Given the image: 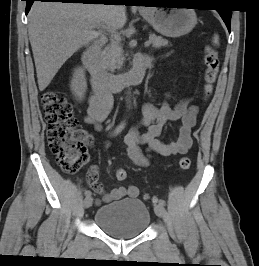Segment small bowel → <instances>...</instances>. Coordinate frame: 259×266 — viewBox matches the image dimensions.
<instances>
[{"label":"small bowel","mask_w":259,"mask_h":266,"mask_svg":"<svg viewBox=\"0 0 259 266\" xmlns=\"http://www.w3.org/2000/svg\"><path fill=\"white\" fill-rule=\"evenodd\" d=\"M145 58V57H144ZM113 106V99L109 92L99 90L93 85V93L89 99V106L84 118L86 123L93 124L100 131L102 123L109 115ZM198 107L191 103L190 98L180 101L175 107H171L167 102L160 106L145 104L142 108L141 119L131 128L125 137L128 146L129 157L140 166L149 164V157L142 154L140 145H146L148 150L161 156L185 154L192 146V129L196 125ZM181 121L179 135L175 141L164 143L160 140V135L165 125L170 121ZM146 126L145 134H138V127ZM108 146V143H106ZM87 183L89 187L102 195L100 202H112L124 197L135 198L139 194V189L135 185L128 187H117L109 192L103 191L98 181V169L92 166L87 172Z\"/></svg>","instance_id":"1"}]
</instances>
